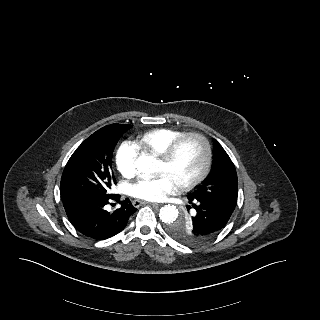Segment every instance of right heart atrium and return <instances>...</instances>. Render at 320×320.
I'll use <instances>...</instances> for the list:
<instances>
[{"label":"right heart atrium","instance_id":"d8ad5b80","mask_svg":"<svg viewBox=\"0 0 320 320\" xmlns=\"http://www.w3.org/2000/svg\"><path fill=\"white\" fill-rule=\"evenodd\" d=\"M137 148L130 141H124L116 152L115 162L118 171L124 177H131L136 172Z\"/></svg>","mask_w":320,"mask_h":320}]
</instances>
